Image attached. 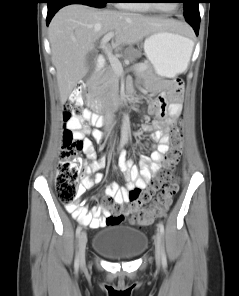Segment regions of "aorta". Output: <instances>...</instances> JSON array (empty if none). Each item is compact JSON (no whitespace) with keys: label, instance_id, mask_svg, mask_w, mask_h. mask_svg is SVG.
Here are the masks:
<instances>
[{"label":"aorta","instance_id":"1","mask_svg":"<svg viewBox=\"0 0 239 296\" xmlns=\"http://www.w3.org/2000/svg\"><path fill=\"white\" fill-rule=\"evenodd\" d=\"M129 115L124 114L122 120V127H121V138L122 140L128 139L129 137Z\"/></svg>","mask_w":239,"mask_h":296}]
</instances>
